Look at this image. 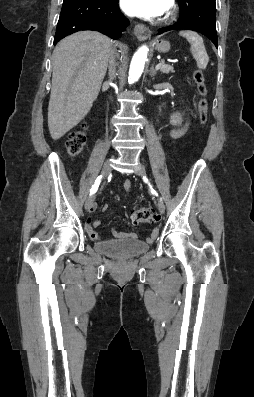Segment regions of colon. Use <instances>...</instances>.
I'll use <instances>...</instances> for the list:
<instances>
[{"label":"colon","mask_w":254,"mask_h":397,"mask_svg":"<svg viewBox=\"0 0 254 397\" xmlns=\"http://www.w3.org/2000/svg\"><path fill=\"white\" fill-rule=\"evenodd\" d=\"M199 95L198 115L201 124H205L208 117V101L205 77L202 71L196 70L193 74ZM87 125L82 123L79 128L72 131L66 141V149L71 157L79 156L87 144ZM131 219L135 224L154 223L158 220L155 211L148 207H140L133 210Z\"/></svg>","instance_id":"obj_1"}]
</instances>
